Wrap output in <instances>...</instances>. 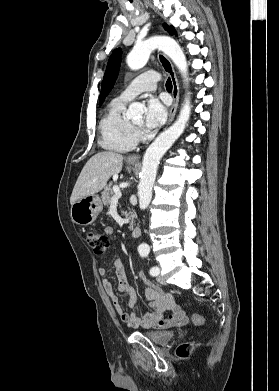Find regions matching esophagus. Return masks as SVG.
Instances as JSON below:
<instances>
[{
	"label": "esophagus",
	"instance_id": "obj_1",
	"mask_svg": "<svg viewBox=\"0 0 279 391\" xmlns=\"http://www.w3.org/2000/svg\"><path fill=\"white\" fill-rule=\"evenodd\" d=\"M158 60L161 64L162 68L164 69V71L169 75L171 82H172V86H173V89H172L173 103L170 108L169 118H168V122H167V125H169L173 121L175 114H176V111H177V108H178L179 84H178V80L176 77L174 67H173L171 61L168 59V57L165 56L163 53H159ZM127 161L137 163L140 161V155H131L127 158Z\"/></svg>",
	"mask_w": 279,
	"mask_h": 391
}]
</instances>
